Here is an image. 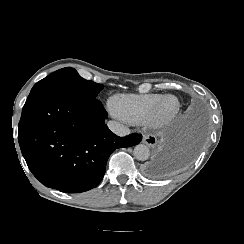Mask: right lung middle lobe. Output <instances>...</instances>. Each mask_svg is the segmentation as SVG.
Segmentation results:
<instances>
[{
  "label": "right lung middle lobe",
  "mask_w": 244,
  "mask_h": 244,
  "mask_svg": "<svg viewBox=\"0 0 244 244\" xmlns=\"http://www.w3.org/2000/svg\"><path fill=\"white\" fill-rule=\"evenodd\" d=\"M103 85L82 78L74 68L57 70L37 82L30 93L64 92L81 98H96Z\"/></svg>",
  "instance_id": "right-lung-middle-lobe-1"
}]
</instances>
